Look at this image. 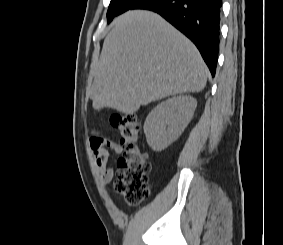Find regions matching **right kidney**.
Returning <instances> with one entry per match:
<instances>
[{"instance_id": "1", "label": "right kidney", "mask_w": 283, "mask_h": 245, "mask_svg": "<svg viewBox=\"0 0 283 245\" xmlns=\"http://www.w3.org/2000/svg\"><path fill=\"white\" fill-rule=\"evenodd\" d=\"M196 106V99L187 95L159 103L144 123L148 145L155 151H161L173 143L191 121Z\"/></svg>"}]
</instances>
